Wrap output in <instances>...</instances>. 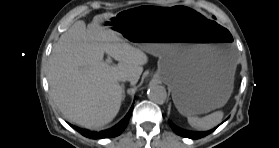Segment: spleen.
Listing matches in <instances>:
<instances>
[{
    "label": "spleen",
    "mask_w": 279,
    "mask_h": 148,
    "mask_svg": "<svg viewBox=\"0 0 279 148\" xmlns=\"http://www.w3.org/2000/svg\"><path fill=\"white\" fill-rule=\"evenodd\" d=\"M223 118L222 111L213 112L205 117L198 118L194 116H188V123L199 130H209L217 126Z\"/></svg>",
    "instance_id": "spleen-1"
}]
</instances>
